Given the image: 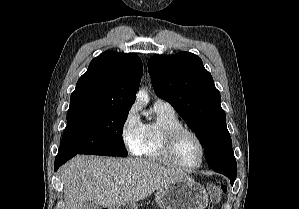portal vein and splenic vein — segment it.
<instances>
[{
  "instance_id": "portal-vein-and-splenic-vein-1",
  "label": "portal vein and splenic vein",
  "mask_w": 299,
  "mask_h": 209,
  "mask_svg": "<svg viewBox=\"0 0 299 209\" xmlns=\"http://www.w3.org/2000/svg\"><path fill=\"white\" fill-rule=\"evenodd\" d=\"M118 184H124V181L120 180L118 181Z\"/></svg>"
}]
</instances>
